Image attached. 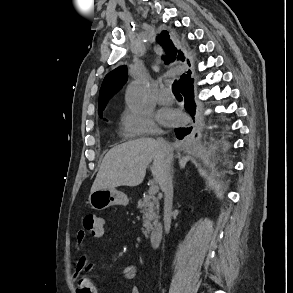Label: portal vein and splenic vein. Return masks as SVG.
<instances>
[{
  "mask_svg": "<svg viewBox=\"0 0 293 293\" xmlns=\"http://www.w3.org/2000/svg\"><path fill=\"white\" fill-rule=\"evenodd\" d=\"M158 191H159V187H158L157 185H152V186L149 188L148 193H149L150 195H154V194H156Z\"/></svg>",
  "mask_w": 293,
  "mask_h": 293,
  "instance_id": "1",
  "label": "portal vein and splenic vein"
}]
</instances>
